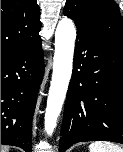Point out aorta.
I'll return each instance as SVG.
<instances>
[{
    "instance_id": "1",
    "label": "aorta",
    "mask_w": 123,
    "mask_h": 152,
    "mask_svg": "<svg viewBox=\"0 0 123 152\" xmlns=\"http://www.w3.org/2000/svg\"><path fill=\"white\" fill-rule=\"evenodd\" d=\"M76 29L73 21L62 18L55 32L53 73L44 117L45 131L51 135L56 128L72 75Z\"/></svg>"
}]
</instances>
